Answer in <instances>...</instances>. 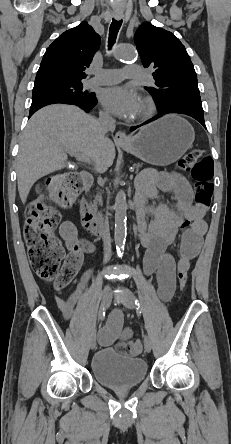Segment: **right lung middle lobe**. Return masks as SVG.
Instances as JSON below:
<instances>
[{
    "mask_svg": "<svg viewBox=\"0 0 231 444\" xmlns=\"http://www.w3.org/2000/svg\"><path fill=\"white\" fill-rule=\"evenodd\" d=\"M50 98L89 102L95 99V95L83 91L82 83H56L33 89L32 102Z\"/></svg>",
    "mask_w": 231,
    "mask_h": 444,
    "instance_id": "1",
    "label": "right lung middle lobe"
}]
</instances>
